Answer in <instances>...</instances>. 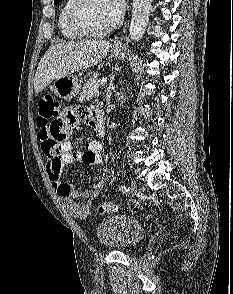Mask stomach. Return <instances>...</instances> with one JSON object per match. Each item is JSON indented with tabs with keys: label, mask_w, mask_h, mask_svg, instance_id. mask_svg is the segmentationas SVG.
Here are the masks:
<instances>
[{
	"label": "stomach",
	"mask_w": 233,
	"mask_h": 294,
	"mask_svg": "<svg viewBox=\"0 0 233 294\" xmlns=\"http://www.w3.org/2000/svg\"><path fill=\"white\" fill-rule=\"evenodd\" d=\"M111 56L115 59L123 60L126 57V53L121 47H113L111 49ZM80 88L77 76L72 73L57 78L53 82L55 94L65 100L76 97L80 92Z\"/></svg>",
	"instance_id": "stomach-1"
}]
</instances>
